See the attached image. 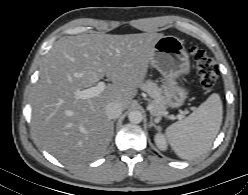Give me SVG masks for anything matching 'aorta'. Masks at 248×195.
Listing matches in <instances>:
<instances>
[{
	"label": "aorta",
	"mask_w": 248,
	"mask_h": 195,
	"mask_svg": "<svg viewBox=\"0 0 248 195\" xmlns=\"http://www.w3.org/2000/svg\"><path fill=\"white\" fill-rule=\"evenodd\" d=\"M142 113L138 110H132L129 114H128V119L131 123L133 124H138L142 121Z\"/></svg>",
	"instance_id": "762f6f07"
}]
</instances>
